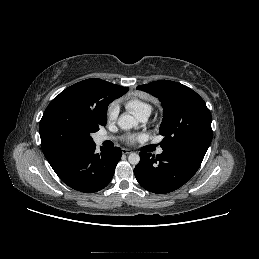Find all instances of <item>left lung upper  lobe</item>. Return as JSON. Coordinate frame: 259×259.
Masks as SVG:
<instances>
[{"label": "left lung upper lobe", "mask_w": 259, "mask_h": 259, "mask_svg": "<svg viewBox=\"0 0 259 259\" xmlns=\"http://www.w3.org/2000/svg\"><path fill=\"white\" fill-rule=\"evenodd\" d=\"M159 98L163 120L159 132L163 150L192 151L205 156L212 141L211 113L204 100L189 87L168 80L137 86Z\"/></svg>", "instance_id": "5c2ea615"}]
</instances>
